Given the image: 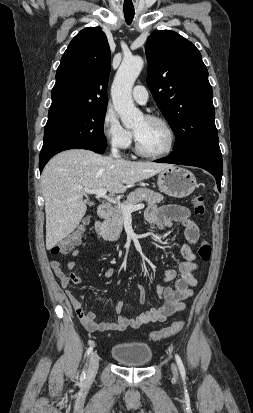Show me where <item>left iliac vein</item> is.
<instances>
[{
  "label": "left iliac vein",
  "mask_w": 253,
  "mask_h": 413,
  "mask_svg": "<svg viewBox=\"0 0 253 413\" xmlns=\"http://www.w3.org/2000/svg\"><path fill=\"white\" fill-rule=\"evenodd\" d=\"M171 370H172V373H173L174 377H177L178 376V370H177V367L174 363L171 365Z\"/></svg>",
  "instance_id": "obj_1"
}]
</instances>
